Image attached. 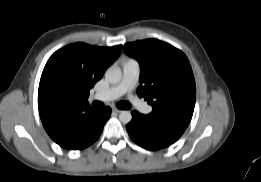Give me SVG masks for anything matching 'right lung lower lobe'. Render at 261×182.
Listing matches in <instances>:
<instances>
[{
	"label": "right lung lower lobe",
	"mask_w": 261,
	"mask_h": 182,
	"mask_svg": "<svg viewBox=\"0 0 261 182\" xmlns=\"http://www.w3.org/2000/svg\"><path fill=\"white\" fill-rule=\"evenodd\" d=\"M110 115V107L98 111L93 110L82 115L74 125L69 137L59 145L69 150H81L90 146L99 138Z\"/></svg>",
	"instance_id": "obj_1"
}]
</instances>
